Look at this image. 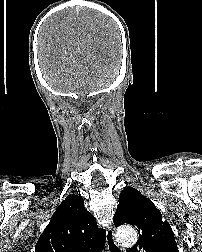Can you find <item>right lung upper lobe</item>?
I'll return each mask as SVG.
<instances>
[{"label":"right lung upper lobe","mask_w":202,"mask_h":252,"mask_svg":"<svg viewBox=\"0 0 202 252\" xmlns=\"http://www.w3.org/2000/svg\"><path fill=\"white\" fill-rule=\"evenodd\" d=\"M106 232L99 229L94 216L80 196L69 195L56 209L41 234L35 252H98Z\"/></svg>","instance_id":"right-lung-upper-lobe-1"}]
</instances>
